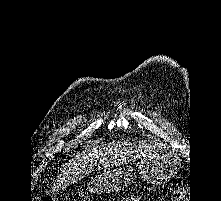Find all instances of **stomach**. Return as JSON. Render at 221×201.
Returning a JSON list of instances; mask_svg holds the SVG:
<instances>
[{
    "instance_id": "obj_1",
    "label": "stomach",
    "mask_w": 221,
    "mask_h": 201,
    "mask_svg": "<svg viewBox=\"0 0 221 201\" xmlns=\"http://www.w3.org/2000/svg\"><path fill=\"white\" fill-rule=\"evenodd\" d=\"M180 165L176 155L156 151L141 158L138 165L139 177L147 183L159 185L172 179ZM136 178L135 168L121 166L94 177L87 187L93 194L118 192L132 184Z\"/></svg>"
}]
</instances>
